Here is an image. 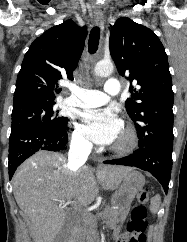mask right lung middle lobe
I'll use <instances>...</instances> for the list:
<instances>
[{
	"instance_id": "obj_1",
	"label": "right lung middle lobe",
	"mask_w": 187,
	"mask_h": 242,
	"mask_svg": "<svg viewBox=\"0 0 187 242\" xmlns=\"http://www.w3.org/2000/svg\"><path fill=\"white\" fill-rule=\"evenodd\" d=\"M54 102H30L13 106L11 130L48 128L66 130L68 118L58 116Z\"/></svg>"
}]
</instances>
